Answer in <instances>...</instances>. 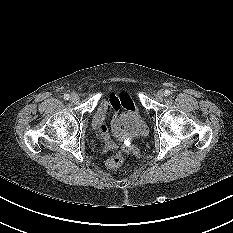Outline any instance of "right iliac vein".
<instances>
[{
	"label": "right iliac vein",
	"mask_w": 233,
	"mask_h": 233,
	"mask_svg": "<svg viewBox=\"0 0 233 233\" xmlns=\"http://www.w3.org/2000/svg\"><path fill=\"white\" fill-rule=\"evenodd\" d=\"M70 100L73 102V103H77L79 102L80 100V97L77 93H72L71 94V97H70Z\"/></svg>",
	"instance_id": "right-iliac-vein-1"
}]
</instances>
